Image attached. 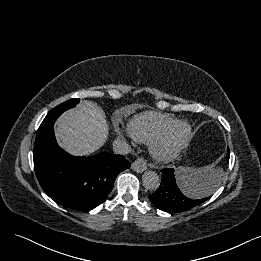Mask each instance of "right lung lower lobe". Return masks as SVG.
Returning <instances> with one entry per match:
<instances>
[{
    "label": "right lung lower lobe",
    "instance_id": "98d812e1",
    "mask_svg": "<svg viewBox=\"0 0 261 261\" xmlns=\"http://www.w3.org/2000/svg\"><path fill=\"white\" fill-rule=\"evenodd\" d=\"M60 116L47 114L34 144L37 179L45 193L74 210H92L109 194L117 175L130 167L122 155L101 152L75 157L61 149L55 139L54 123Z\"/></svg>",
    "mask_w": 261,
    "mask_h": 261
}]
</instances>
